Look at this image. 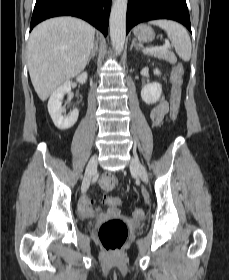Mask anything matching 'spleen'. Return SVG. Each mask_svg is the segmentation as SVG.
<instances>
[{
	"label": "spleen",
	"instance_id": "3e777b00",
	"mask_svg": "<svg viewBox=\"0 0 229 280\" xmlns=\"http://www.w3.org/2000/svg\"><path fill=\"white\" fill-rule=\"evenodd\" d=\"M152 25L159 26L163 29L171 41L176 53L184 61H189L191 58V40L186 29L171 20L160 19L149 22Z\"/></svg>",
	"mask_w": 229,
	"mask_h": 280
}]
</instances>
